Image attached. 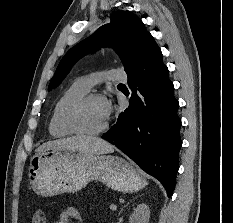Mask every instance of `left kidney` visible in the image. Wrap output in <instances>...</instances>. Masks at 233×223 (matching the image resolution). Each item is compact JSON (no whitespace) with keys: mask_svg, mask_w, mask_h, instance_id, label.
Segmentation results:
<instances>
[{"mask_svg":"<svg viewBox=\"0 0 233 223\" xmlns=\"http://www.w3.org/2000/svg\"><path fill=\"white\" fill-rule=\"evenodd\" d=\"M150 217V209L147 203H139L135 211L129 217L130 223H148Z\"/></svg>","mask_w":233,"mask_h":223,"instance_id":"obj_1","label":"left kidney"}]
</instances>
